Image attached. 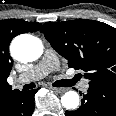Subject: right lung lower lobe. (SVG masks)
<instances>
[{
    "label": "right lung lower lobe",
    "mask_w": 116,
    "mask_h": 116,
    "mask_svg": "<svg viewBox=\"0 0 116 116\" xmlns=\"http://www.w3.org/2000/svg\"><path fill=\"white\" fill-rule=\"evenodd\" d=\"M38 90L20 92L15 90L2 101L0 116H31L34 111V96Z\"/></svg>",
    "instance_id": "98d812e1"
}]
</instances>
